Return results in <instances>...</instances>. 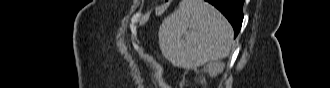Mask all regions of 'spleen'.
Segmentation results:
<instances>
[{
	"label": "spleen",
	"mask_w": 330,
	"mask_h": 88,
	"mask_svg": "<svg viewBox=\"0 0 330 88\" xmlns=\"http://www.w3.org/2000/svg\"><path fill=\"white\" fill-rule=\"evenodd\" d=\"M232 42L229 22L203 0L181 1L159 28L163 56L182 68H196L227 57Z\"/></svg>",
	"instance_id": "obj_1"
}]
</instances>
